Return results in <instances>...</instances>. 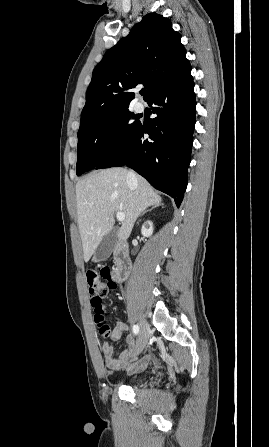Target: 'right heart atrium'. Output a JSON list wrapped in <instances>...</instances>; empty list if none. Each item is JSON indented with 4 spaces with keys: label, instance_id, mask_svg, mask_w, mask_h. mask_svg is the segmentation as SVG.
<instances>
[{
    "label": "right heart atrium",
    "instance_id": "obj_1",
    "mask_svg": "<svg viewBox=\"0 0 269 447\" xmlns=\"http://www.w3.org/2000/svg\"><path fill=\"white\" fill-rule=\"evenodd\" d=\"M107 139L111 142H115L118 139V130L115 126L111 127L107 133Z\"/></svg>",
    "mask_w": 269,
    "mask_h": 447
}]
</instances>
